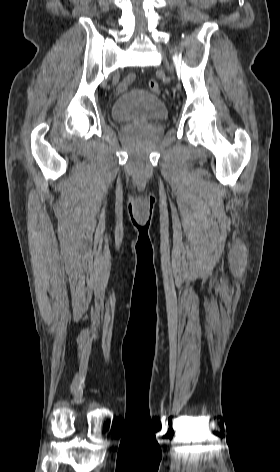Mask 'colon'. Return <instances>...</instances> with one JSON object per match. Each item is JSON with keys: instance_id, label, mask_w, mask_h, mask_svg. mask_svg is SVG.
Segmentation results:
<instances>
[{"instance_id": "5ec220e1", "label": "colon", "mask_w": 280, "mask_h": 472, "mask_svg": "<svg viewBox=\"0 0 280 472\" xmlns=\"http://www.w3.org/2000/svg\"><path fill=\"white\" fill-rule=\"evenodd\" d=\"M148 86H149V88H150L152 91H154V92H158V91H159V83H158L156 80H154V79H152V80H150V81L148 82Z\"/></svg>"}]
</instances>
